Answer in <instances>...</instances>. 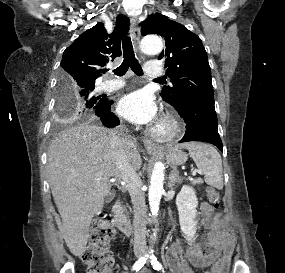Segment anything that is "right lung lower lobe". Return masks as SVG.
Returning <instances> with one entry per match:
<instances>
[{"label":"right lung lower lobe","instance_id":"98d812e1","mask_svg":"<svg viewBox=\"0 0 285 273\" xmlns=\"http://www.w3.org/2000/svg\"><path fill=\"white\" fill-rule=\"evenodd\" d=\"M112 101L107 98H103L96 108V115L101 117L102 123L107 127H115L119 125V119L113 113H111Z\"/></svg>","mask_w":285,"mask_h":273}]
</instances>
